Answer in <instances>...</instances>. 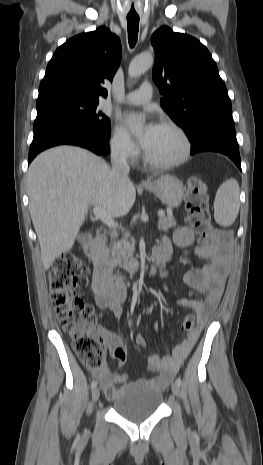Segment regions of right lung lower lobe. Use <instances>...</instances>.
Listing matches in <instances>:
<instances>
[{
	"instance_id": "98d812e1",
	"label": "right lung lower lobe",
	"mask_w": 263,
	"mask_h": 465,
	"mask_svg": "<svg viewBox=\"0 0 263 465\" xmlns=\"http://www.w3.org/2000/svg\"><path fill=\"white\" fill-rule=\"evenodd\" d=\"M109 138L110 133L107 136H99L73 126L46 128L34 133L29 150L28 164L41 151L63 144L80 146L91 150L97 155H106L108 153Z\"/></svg>"
}]
</instances>
